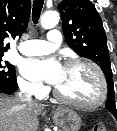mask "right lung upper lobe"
<instances>
[{"label": "right lung upper lobe", "mask_w": 117, "mask_h": 131, "mask_svg": "<svg viewBox=\"0 0 117 131\" xmlns=\"http://www.w3.org/2000/svg\"><path fill=\"white\" fill-rule=\"evenodd\" d=\"M30 16V0H0V52L9 49L7 37L21 36L27 28Z\"/></svg>", "instance_id": "cb5924a9"}]
</instances>
